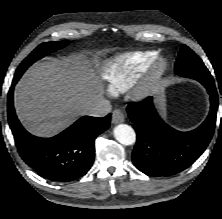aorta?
Wrapping results in <instances>:
<instances>
[{
	"mask_svg": "<svg viewBox=\"0 0 222 219\" xmlns=\"http://www.w3.org/2000/svg\"><path fill=\"white\" fill-rule=\"evenodd\" d=\"M115 139L123 145H132L136 141V134L133 128L127 124H119L114 128Z\"/></svg>",
	"mask_w": 222,
	"mask_h": 219,
	"instance_id": "1",
	"label": "aorta"
}]
</instances>
